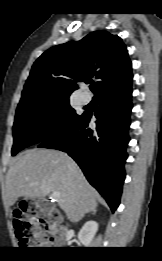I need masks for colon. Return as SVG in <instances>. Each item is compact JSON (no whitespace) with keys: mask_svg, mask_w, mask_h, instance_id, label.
I'll use <instances>...</instances> for the list:
<instances>
[{"mask_svg":"<svg viewBox=\"0 0 162 261\" xmlns=\"http://www.w3.org/2000/svg\"><path fill=\"white\" fill-rule=\"evenodd\" d=\"M59 211L47 200H28L14 212V229L22 248L47 247L50 239L41 226L57 225Z\"/></svg>","mask_w":162,"mask_h":261,"instance_id":"1","label":"colon"}]
</instances>
